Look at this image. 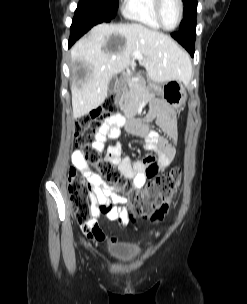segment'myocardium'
I'll return each mask as SVG.
<instances>
[{
    "label": "myocardium",
    "mask_w": 247,
    "mask_h": 304,
    "mask_svg": "<svg viewBox=\"0 0 247 304\" xmlns=\"http://www.w3.org/2000/svg\"><path fill=\"white\" fill-rule=\"evenodd\" d=\"M178 6H179V17H178V21L176 23V25L173 27V28H167L164 23H163V20H162V15H161V11H162V6H163V3H164V0H155V4H154V10H155V16H156V19L158 21V23L160 24V26L167 30V31H173L175 30L176 28L179 27V25L181 24L182 22V19H183V10H184V6H183V1L182 0H176Z\"/></svg>",
    "instance_id": "obj_1"
}]
</instances>
